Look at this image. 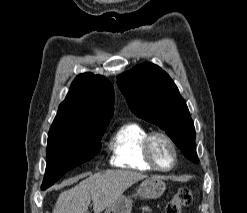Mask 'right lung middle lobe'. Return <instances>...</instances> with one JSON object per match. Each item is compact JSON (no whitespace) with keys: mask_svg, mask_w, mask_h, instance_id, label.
Listing matches in <instances>:
<instances>
[{"mask_svg":"<svg viewBox=\"0 0 247 213\" xmlns=\"http://www.w3.org/2000/svg\"><path fill=\"white\" fill-rule=\"evenodd\" d=\"M106 126L81 130L50 129L47 166L41 189L50 187L66 172L97 155Z\"/></svg>","mask_w":247,"mask_h":213,"instance_id":"1","label":"right lung middle lobe"}]
</instances>
